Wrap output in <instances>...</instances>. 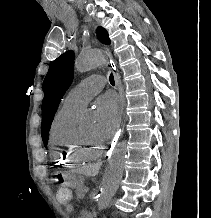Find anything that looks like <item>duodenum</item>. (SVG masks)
<instances>
[{"mask_svg":"<svg viewBox=\"0 0 211 218\" xmlns=\"http://www.w3.org/2000/svg\"><path fill=\"white\" fill-rule=\"evenodd\" d=\"M80 216H81V218H93L92 213L86 209H84L80 212Z\"/></svg>","mask_w":211,"mask_h":218,"instance_id":"410a0bca","label":"duodenum"}]
</instances>
